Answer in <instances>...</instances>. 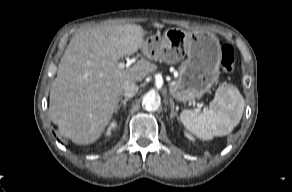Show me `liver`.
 Here are the masks:
<instances>
[{
  "mask_svg": "<svg viewBox=\"0 0 292 192\" xmlns=\"http://www.w3.org/2000/svg\"><path fill=\"white\" fill-rule=\"evenodd\" d=\"M145 34L136 24L94 26L71 39L50 90L49 116L62 136L76 144L95 142L110 122L124 85L140 82L157 69L145 59L118 68L120 58L144 47Z\"/></svg>",
  "mask_w": 292,
  "mask_h": 192,
  "instance_id": "1",
  "label": "liver"
}]
</instances>
